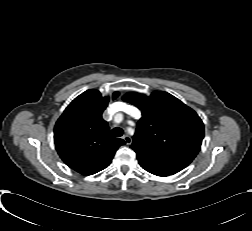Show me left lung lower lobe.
I'll return each mask as SVG.
<instances>
[{
  "label": "left lung lower lobe",
  "mask_w": 252,
  "mask_h": 231,
  "mask_svg": "<svg viewBox=\"0 0 252 231\" xmlns=\"http://www.w3.org/2000/svg\"><path fill=\"white\" fill-rule=\"evenodd\" d=\"M138 162L146 171L163 177L173 175L189 165L182 161L163 159L138 158Z\"/></svg>",
  "instance_id": "1"
}]
</instances>
